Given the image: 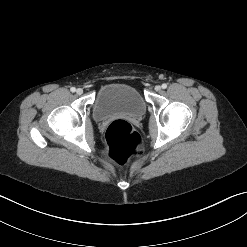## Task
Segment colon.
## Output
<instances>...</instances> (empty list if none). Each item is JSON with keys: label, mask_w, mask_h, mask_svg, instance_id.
Instances as JSON below:
<instances>
[{"label": "colon", "mask_w": 247, "mask_h": 247, "mask_svg": "<svg viewBox=\"0 0 247 247\" xmlns=\"http://www.w3.org/2000/svg\"><path fill=\"white\" fill-rule=\"evenodd\" d=\"M105 142L110 159L123 165L137 155L141 138L129 122L116 120L107 127Z\"/></svg>", "instance_id": "colon-1"}]
</instances>
